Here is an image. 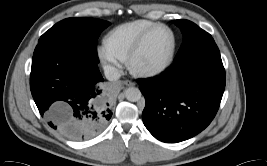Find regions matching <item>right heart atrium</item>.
Returning <instances> with one entry per match:
<instances>
[{"label": "right heart atrium", "mask_w": 267, "mask_h": 166, "mask_svg": "<svg viewBox=\"0 0 267 166\" xmlns=\"http://www.w3.org/2000/svg\"><path fill=\"white\" fill-rule=\"evenodd\" d=\"M98 56L103 65L112 73L117 72L121 65V58L107 43H104L98 48Z\"/></svg>", "instance_id": "obj_1"}]
</instances>
